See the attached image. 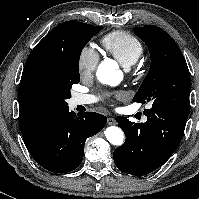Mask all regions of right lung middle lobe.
I'll use <instances>...</instances> for the list:
<instances>
[{
	"label": "right lung middle lobe",
	"instance_id": "right-lung-middle-lobe-1",
	"mask_svg": "<svg viewBox=\"0 0 199 199\" xmlns=\"http://www.w3.org/2000/svg\"><path fill=\"white\" fill-rule=\"evenodd\" d=\"M101 30V26L78 21L63 22L52 29L40 55L29 69L27 92L41 103L59 109L67 108L70 89L80 82L81 51Z\"/></svg>",
	"mask_w": 199,
	"mask_h": 199
}]
</instances>
